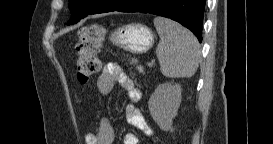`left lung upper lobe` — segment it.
<instances>
[{"instance_id":"1","label":"left lung upper lobe","mask_w":273,"mask_h":144,"mask_svg":"<svg viewBox=\"0 0 273 144\" xmlns=\"http://www.w3.org/2000/svg\"><path fill=\"white\" fill-rule=\"evenodd\" d=\"M97 0H69L72 17L81 16L93 9Z\"/></svg>"}]
</instances>
